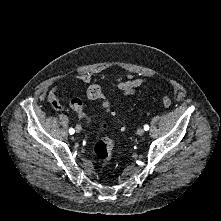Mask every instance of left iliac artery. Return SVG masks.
Segmentation results:
<instances>
[{
    "label": "left iliac artery",
    "mask_w": 221,
    "mask_h": 221,
    "mask_svg": "<svg viewBox=\"0 0 221 221\" xmlns=\"http://www.w3.org/2000/svg\"><path fill=\"white\" fill-rule=\"evenodd\" d=\"M144 130H146V131L149 130V126H148V125H145V126H144Z\"/></svg>",
    "instance_id": "44dca946"
}]
</instances>
